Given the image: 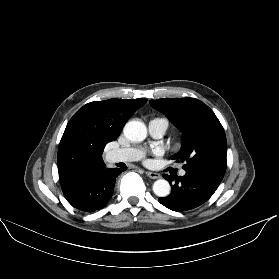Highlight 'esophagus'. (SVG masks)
I'll use <instances>...</instances> for the list:
<instances>
[{
  "label": "esophagus",
  "instance_id": "34e87169",
  "mask_svg": "<svg viewBox=\"0 0 279 279\" xmlns=\"http://www.w3.org/2000/svg\"><path fill=\"white\" fill-rule=\"evenodd\" d=\"M145 174L151 179H159L161 178L160 174L146 171Z\"/></svg>",
  "mask_w": 279,
  "mask_h": 279
}]
</instances>
